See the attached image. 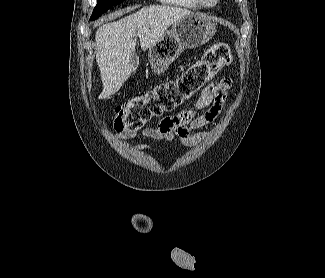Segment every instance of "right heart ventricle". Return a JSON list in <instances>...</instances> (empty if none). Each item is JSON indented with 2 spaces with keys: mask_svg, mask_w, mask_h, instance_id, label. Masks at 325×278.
<instances>
[{
  "mask_svg": "<svg viewBox=\"0 0 325 278\" xmlns=\"http://www.w3.org/2000/svg\"><path fill=\"white\" fill-rule=\"evenodd\" d=\"M163 3L174 5L182 8L187 9H202L205 8L206 5L203 3L202 0H160Z\"/></svg>",
  "mask_w": 325,
  "mask_h": 278,
  "instance_id": "obj_1",
  "label": "right heart ventricle"
}]
</instances>
